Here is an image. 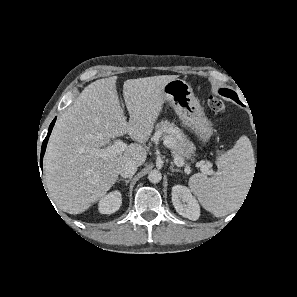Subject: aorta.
<instances>
[{
	"instance_id": "aorta-1",
	"label": "aorta",
	"mask_w": 297,
	"mask_h": 297,
	"mask_svg": "<svg viewBox=\"0 0 297 297\" xmlns=\"http://www.w3.org/2000/svg\"><path fill=\"white\" fill-rule=\"evenodd\" d=\"M148 179L151 183H159L162 179V174L159 170H152L149 174H148Z\"/></svg>"
}]
</instances>
